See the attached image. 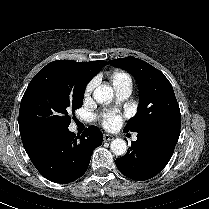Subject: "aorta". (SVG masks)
Returning a JSON list of instances; mask_svg holds the SVG:
<instances>
[{
    "instance_id": "1",
    "label": "aorta",
    "mask_w": 209,
    "mask_h": 209,
    "mask_svg": "<svg viewBox=\"0 0 209 209\" xmlns=\"http://www.w3.org/2000/svg\"><path fill=\"white\" fill-rule=\"evenodd\" d=\"M93 97L98 103H109L114 97V91L111 86L102 84L94 90ZM110 148L115 155L121 156L127 152V143L125 140L117 138L111 142Z\"/></svg>"
}]
</instances>
